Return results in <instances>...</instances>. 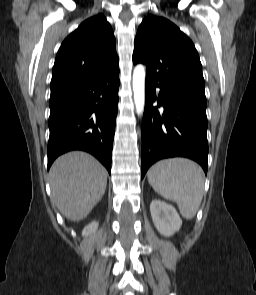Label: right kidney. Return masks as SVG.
Here are the masks:
<instances>
[{"instance_id":"right-kidney-1","label":"right kidney","mask_w":256,"mask_h":295,"mask_svg":"<svg viewBox=\"0 0 256 295\" xmlns=\"http://www.w3.org/2000/svg\"><path fill=\"white\" fill-rule=\"evenodd\" d=\"M98 222H92L90 223L89 225H87L83 231H82V235L83 236H88V235H91L93 234L94 232H96V230L98 229Z\"/></svg>"}]
</instances>
